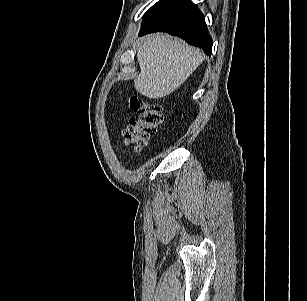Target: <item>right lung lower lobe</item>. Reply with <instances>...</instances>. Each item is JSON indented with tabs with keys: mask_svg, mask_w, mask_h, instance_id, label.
Segmentation results:
<instances>
[{
	"mask_svg": "<svg viewBox=\"0 0 307 301\" xmlns=\"http://www.w3.org/2000/svg\"><path fill=\"white\" fill-rule=\"evenodd\" d=\"M158 31L179 36L202 48L207 55L212 52V39L204 16L191 0H168L144 18L139 35Z\"/></svg>",
	"mask_w": 307,
	"mask_h": 301,
	"instance_id": "right-lung-lower-lobe-1",
	"label": "right lung lower lobe"
}]
</instances>
